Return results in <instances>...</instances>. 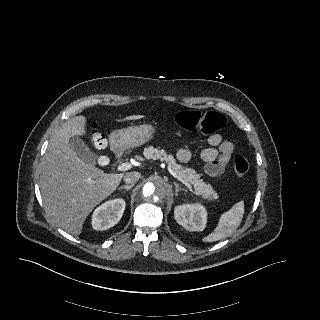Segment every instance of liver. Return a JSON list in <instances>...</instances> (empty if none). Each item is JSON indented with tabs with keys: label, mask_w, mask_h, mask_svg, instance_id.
Here are the masks:
<instances>
[{
	"label": "liver",
	"mask_w": 320,
	"mask_h": 320,
	"mask_svg": "<svg viewBox=\"0 0 320 320\" xmlns=\"http://www.w3.org/2000/svg\"><path fill=\"white\" fill-rule=\"evenodd\" d=\"M131 115L123 120H138ZM87 118L79 115L66 121L53 135L42 161L40 190L44 208L53 221L73 235L82 232L86 217L119 186L124 174H106L80 159L69 138L84 136Z\"/></svg>",
	"instance_id": "liver-1"
}]
</instances>
